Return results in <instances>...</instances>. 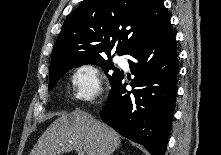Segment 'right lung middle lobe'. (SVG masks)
I'll use <instances>...</instances> for the list:
<instances>
[{"instance_id": "1", "label": "right lung middle lobe", "mask_w": 221, "mask_h": 155, "mask_svg": "<svg viewBox=\"0 0 221 155\" xmlns=\"http://www.w3.org/2000/svg\"><path fill=\"white\" fill-rule=\"evenodd\" d=\"M90 63H95L97 65L102 66V68L104 69V71L106 73H108L109 70H114L115 72L112 75H108V78H109V81H110L111 84L122 73L121 71H118L117 69H115L114 65L109 60L105 61L104 59H98V60L80 62V63L75 64V65L60 67L58 69H55V70L51 71L50 74H49V76H50V78H49V90H51L55 86L57 81L62 77V75L65 74L70 69H72L74 67H79L81 65L90 64Z\"/></svg>"}]
</instances>
